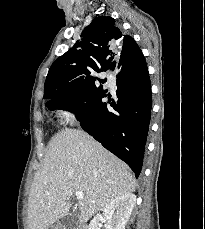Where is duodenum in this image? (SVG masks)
Instances as JSON below:
<instances>
[{"mask_svg":"<svg viewBox=\"0 0 205 229\" xmlns=\"http://www.w3.org/2000/svg\"><path fill=\"white\" fill-rule=\"evenodd\" d=\"M71 229H86V227L85 226H78V227L71 228Z\"/></svg>","mask_w":205,"mask_h":229,"instance_id":"obj_1","label":"duodenum"}]
</instances>
